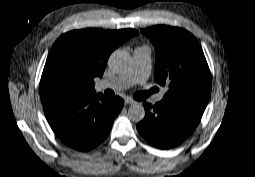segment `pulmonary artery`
<instances>
[{
	"label": "pulmonary artery",
	"instance_id": "1",
	"mask_svg": "<svg viewBox=\"0 0 255 177\" xmlns=\"http://www.w3.org/2000/svg\"><path fill=\"white\" fill-rule=\"evenodd\" d=\"M150 50L147 47H139L133 51V64L123 74L103 80L97 85V90L105 89H127L136 84H143L147 81L151 73ZM164 92L157 95L156 100L163 99Z\"/></svg>",
	"mask_w": 255,
	"mask_h": 177
}]
</instances>
